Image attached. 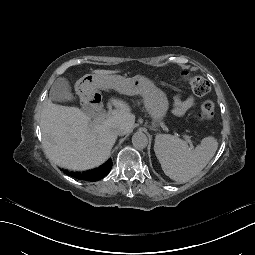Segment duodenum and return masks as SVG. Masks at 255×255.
<instances>
[{
	"mask_svg": "<svg viewBox=\"0 0 255 255\" xmlns=\"http://www.w3.org/2000/svg\"><path fill=\"white\" fill-rule=\"evenodd\" d=\"M78 93L81 97L84 107L96 115L104 112L102 96L88 82H83L78 87Z\"/></svg>",
	"mask_w": 255,
	"mask_h": 255,
	"instance_id": "1",
	"label": "duodenum"
}]
</instances>
